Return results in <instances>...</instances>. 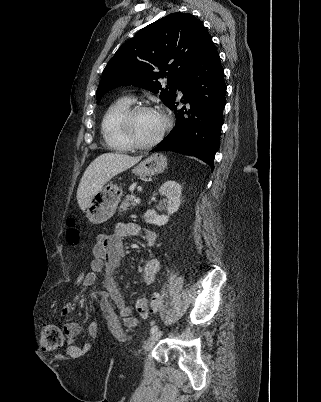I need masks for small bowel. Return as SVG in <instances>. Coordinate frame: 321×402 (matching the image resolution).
I'll return each mask as SVG.
<instances>
[{
	"label": "small bowel",
	"instance_id": "obj_1",
	"mask_svg": "<svg viewBox=\"0 0 321 402\" xmlns=\"http://www.w3.org/2000/svg\"><path fill=\"white\" fill-rule=\"evenodd\" d=\"M138 235L144 238L148 246H154L157 242V234L153 230L143 228L135 222H119L112 233L100 235L92 247L90 269L84 276L85 280L83 282L86 286L92 285L96 280L97 274L103 272L104 289L114 306L118 309L124 324L128 327H135L137 319L133 316L132 308L125 304L114 277L124 256V239L129 236ZM160 264L158 258H152L145 263L143 277L146 283L150 284L155 280L160 270ZM141 304L147 306L146 300L140 298L136 301V307ZM72 310V305L64 304L61 306L59 312L61 316L66 317ZM141 316L147 317L148 313L141 314ZM63 328L66 336L67 353L72 358H83V350H89L90 343L95 340L94 335L100 333L99 322L93 321L92 326H86L84 329L87 341H80L79 345H77L76 341L82 333V326L76 322H67Z\"/></svg>",
	"mask_w": 321,
	"mask_h": 402
}]
</instances>
